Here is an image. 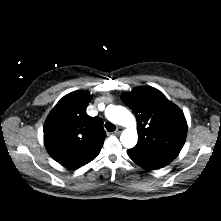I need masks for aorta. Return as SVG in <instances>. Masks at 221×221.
<instances>
[{"instance_id": "aorta-1", "label": "aorta", "mask_w": 221, "mask_h": 221, "mask_svg": "<svg viewBox=\"0 0 221 221\" xmlns=\"http://www.w3.org/2000/svg\"><path fill=\"white\" fill-rule=\"evenodd\" d=\"M105 116L109 121L127 128L122 132L120 141L125 148H133L137 144L138 134L132 113L123 106L108 105Z\"/></svg>"}]
</instances>
